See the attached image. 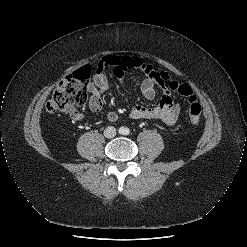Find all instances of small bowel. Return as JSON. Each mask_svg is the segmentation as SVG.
<instances>
[{
  "label": "small bowel",
  "mask_w": 247,
  "mask_h": 247,
  "mask_svg": "<svg viewBox=\"0 0 247 247\" xmlns=\"http://www.w3.org/2000/svg\"><path fill=\"white\" fill-rule=\"evenodd\" d=\"M107 69H113L114 74L119 79H122L124 73L128 70L137 69L141 71L145 75V79L141 84V92L148 100H153L156 97V87L161 89L162 96L156 106L137 105L128 113L130 118L159 120L166 125H173L178 121L181 106L175 103L171 97V90L168 84L173 81H171L169 74L165 71L154 69L151 64L135 56L106 55L101 59L92 80L87 84V90L91 94L89 108L93 112H99L103 107L101 95L109 87L104 73ZM71 117L76 121L83 119V115L79 112L71 113ZM107 117L109 121L117 122L120 119V114L116 111H111Z\"/></svg>",
  "instance_id": "obj_1"
}]
</instances>
